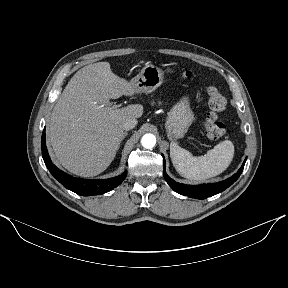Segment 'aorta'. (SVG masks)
<instances>
[{
  "label": "aorta",
  "mask_w": 288,
  "mask_h": 288,
  "mask_svg": "<svg viewBox=\"0 0 288 288\" xmlns=\"http://www.w3.org/2000/svg\"><path fill=\"white\" fill-rule=\"evenodd\" d=\"M141 144L146 149H151L156 144V137L153 134H145L141 139Z\"/></svg>",
  "instance_id": "aorta-1"
}]
</instances>
